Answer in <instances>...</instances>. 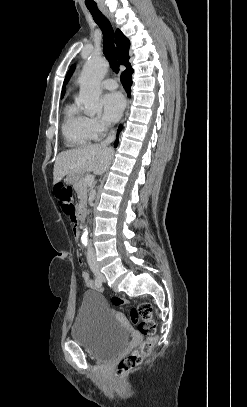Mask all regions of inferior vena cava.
I'll return each mask as SVG.
<instances>
[{
  "label": "inferior vena cava",
  "mask_w": 247,
  "mask_h": 407,
  "mask_svg": "<svg viewBox=\"0 0 247 407\" xmlns=\"http://www.w3.org/2000/svg\"><path fill=\"white\" fill-rule=\"evenodd\" d=\"M115 139V133L114 131H111L110 134L108 135V137L101 142V146L102 147H107L110 143H112ZM87 260L89 264H95L96 263V258H95V254H94V250L91 247V245L88 246V250H87Z\"/></svg>",
  "instance_id": "1"
}]
</instances>
